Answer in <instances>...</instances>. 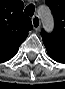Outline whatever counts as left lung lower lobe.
Here are the masks:
<instances>
[{"label":"left lung lower lobe","instance_id":"1","mask_svg":"<svg viewBox=\"0 0 65 89\" xmlns=\"http://www.w3.org/2000/svg\"><path fill=\"white\" fill-rule=\"evenodd\" d=\"M48 55L55 61L65 63V44L43 38Z\"/></svg>","mask_w":65,"mask_h":89}]
</instances>
